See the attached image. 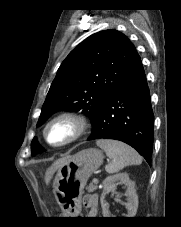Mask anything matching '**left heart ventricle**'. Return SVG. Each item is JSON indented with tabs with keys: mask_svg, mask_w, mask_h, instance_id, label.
Here are the masks:
<instances>
[{
	"mask_svg": "<svg viewBox=\"0 0 181 227\" xmlns=\"http://www.w3.org/2000/svg\"><path fill=\"white\" fill-rule=\"evenodd\" d=\"M73 132V127L65 122L61 121L55 123L48 130V140L51 143L58 144L66 140Z\"/></svg>",
	"mask_w": 181,
	"mask_h": 227,
	"instance_id": "1",
	"label": "left heart ventricle"
}]
</instances>
